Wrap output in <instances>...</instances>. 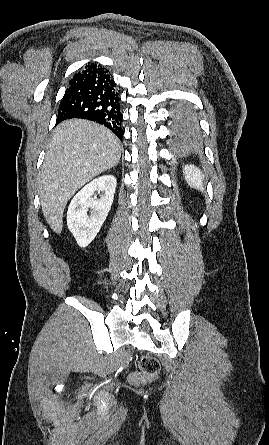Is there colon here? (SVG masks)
I'll return each instance as SVG.
<instances>
[{"mask_svg":"<svg viewBox=\"0 0 269 445\" xmlns=\"http://www.w3.org/2000/svg\"><path fill=\"white\" fill-rule=\"evenodd\" d=\"M140 371L134 372L130 380L134 384H142L155 378L160 371V364L156 358L150 355H143L139 360Z\"/></svg>","mask_w":269,"mask_h":445,"instance_id":"1","label":"colon"}]
</instances>
